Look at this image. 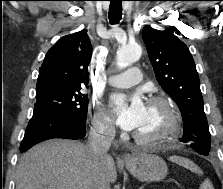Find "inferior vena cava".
<instances>
[{"instance_id":"inferior-vena-cava-1","label":"inferior vena cava","mask_w":223,"mask_h":189,"mask_svg":"<svg viewBox=\"0 0 223 189\" xmlns=\"http://www.w3.org/2000/svg\"><path fill=\"white\" fill-rule=\"evenodd\" d=\"M115 137V128L107 123H93L87 143L90 154L101 161L108 158V150ZM94 189H111L109 181L102 175L95 178Z\"/></svg>"}]
</instances>
